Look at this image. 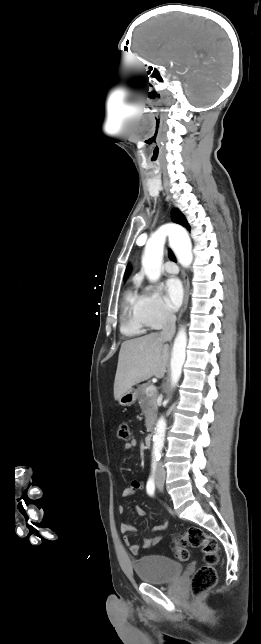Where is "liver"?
<instances>
[{"instance_id": "liver-1", "label": "liver", "mask_w": 261, "mask_h": 644, "mask_svg": "<svg viewBox=\"0 0 261 644\" xmlns=\"http://www.w3.org/2000/svg\"><path fill=\"white\" fill-rule=\"evenodd\" d=\"M167 339L152 333L122 343L114 381V398L151 377L163 378L168 362Z\"/></svg>"}]
</instances>
